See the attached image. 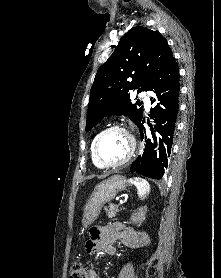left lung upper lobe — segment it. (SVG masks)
I'll return each mask as SVG.
<instances>
[{"label":"left lung upper lobe","instance_id":"5c2ea615","mask_svg":"<svg viewBox=\"0 0 221 278\" xmlns=\"http://www.w3.org/2000/svg\"><path fill=\"white\" fill-rule=\"evenodd\" d=\"M172 58L166 39L158 31L143 26L131 28L97 71L90 91L86 131L107 115L128 116L139 126L142 103L139 107L132 104L129 92L149 91Z\"/></svg>","mask_w":221,"mask_h":278}]
</instances>
